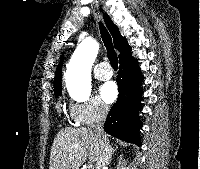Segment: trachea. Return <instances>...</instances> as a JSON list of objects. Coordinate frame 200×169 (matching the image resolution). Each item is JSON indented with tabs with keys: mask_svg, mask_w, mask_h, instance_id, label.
Returning <instances> with one entry per match:
<instances>
[{
	"mask_svg": "<svg viewBox=\"0 0 200 169\" xmlns=\"http://www.w3.org/2000/svg\"><path fill=\"white\" fill-rule=\"evenodd\" d=\"M99 27H100V33H101L102 40L107 49V57L110 61V64L112 65L113 69L117 70L118 69V57H117V54L113 47L112 38L102 23H100Z\"/></svg>",
	"mask_w": 200,
	"mask_h": 169,
	"instance_id": "trachea-1",
	"label": "trachea"
}]
</instances>
